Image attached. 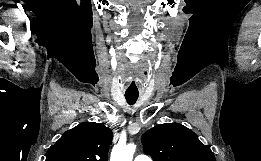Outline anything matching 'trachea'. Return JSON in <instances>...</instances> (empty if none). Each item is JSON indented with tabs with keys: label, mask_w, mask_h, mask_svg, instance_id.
<instances>
[{
	"label": "trachea",
	"mask_w": 261,
	"mask_h": 161,
	"mask_svg": "<svg viewBox=\"0 0 261 161\" xmlns=\"http://www.w3.org/2000/svg\"><path fill=\"white\" fill-rule=\"evenodd\" d=\"M125 98H126L129 105H133L137 101L138 96H136V95H125Z\"/></svg>",
	"instance_id": "trachea-1"
}]
</instances>
